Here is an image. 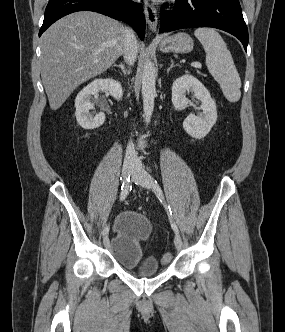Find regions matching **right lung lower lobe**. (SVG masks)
<instances>
[{
    "label": "right lung lower lobe",
    "instance_id": "obj_1",
    "mask_svg": "<svg viewBox=\"0 0 285 332\" xmlns=\"http://www.w3.org/2000/svg\"><path fill=\"white\" fill-rule=\"evenodd\" d=\"M84 10L127 22L141 39L144 38L146 21L142 6L132 0H49L39 36L61 17Z\"/></svg>",
    "mask_w": 285,
    "mask_h": 332
}]
</instances>
